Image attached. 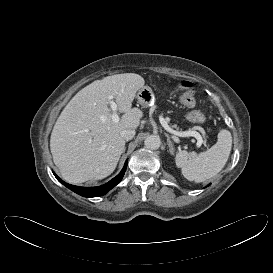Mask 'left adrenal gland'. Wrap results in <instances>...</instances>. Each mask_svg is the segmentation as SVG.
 Segmentation results:
<instances>
[{"instance_id": "left-adrenal-gland-1", "label": "left adrenal gland", "mask_w": 273, "mask_h": 273, "mask_svg": "<svg viewBox=\"0 0 273 273\" xmlns=\"http://www.w3.org/2000/svg\"><path fill=\"white\" fill-rule=\"evenodd\" d=\"M165 136L167 137V145H168V147H169V152H170L171 155H173V154H174L173 143H172V141L170 140V137H169L168 134L165 133Z\"/></svg>"}]
</instances>
